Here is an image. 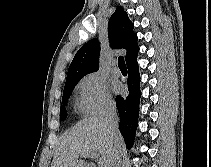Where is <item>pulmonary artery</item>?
<instances>
[{
    "label": "pulmonary artery",
    "mask_w": 211,
    "mask_h": 167,
    "mask_svg": "<svg viewBox=\"0 0 211 167\" xmlns=\"http://www.w3.org/2000/svg\"><path fill=\"white\" fill-rule=\"evenodd\" d=\"M111 73L114 76H119L121 74L119 68L114 64L112 69H111Z\"/></svg>",
    "instance_id": "pulmonary-artery-1"
}]
</instances>
